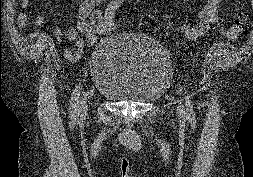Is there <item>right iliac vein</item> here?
I'll use <instances>...</instances> for the list:
<instances>
[{
	"label": "right iliac vein",
	"mask_w": 253,
	"mask_h": 177,
	"mask_svg": "<svg viewBox=\"0 0 253 177\" xmlns=\"http://www.w3.org/2000/svg\"><path fill=\"white\" fill-rule=\"evenodd\" d=\"M87 100H88V97L86 94H84L80 100H79V103H78V115L80 117L84 116L86 111H87Z\"/></svg>",
	"instance_id": "right-iliac-vein-1"
}]
</instances>
